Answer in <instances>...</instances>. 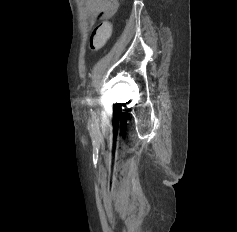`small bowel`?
I'll return each instance as SVG.
<instances>
[{
  "label": "small bowel",
  "mask_w": 237,
  "mask_h": 232,
  "mask_svg": "<svg viewBox=\"0 0 237 232\" xmlns=\"http://www.w3.org/2000/svg\"><path fill=\"white\" fill-rule=\"evenodd\" d=\"M118 0H86L87 9L99 18H108L118 7Z\"/></svg>",
  "instance_id": "1"
}]
</instances>
